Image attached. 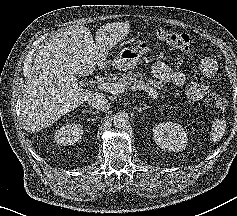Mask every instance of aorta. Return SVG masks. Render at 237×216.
<instances>
[{"label": "aorta", "mask_w": 237, "mask_h": 216, "mask_svg": "<svg viewBox=\"0 0 237 216\" xmlns=\"http://www.w3.org/2000/svg\"><path fill=\"white\" fill-rule=\"evenodd\" d=\"M129 123V116L126 113L118 112L113 117V126L117 129L125 128Z\"/></svg>", "instance_id": "aorta-1"}]
</instances>
